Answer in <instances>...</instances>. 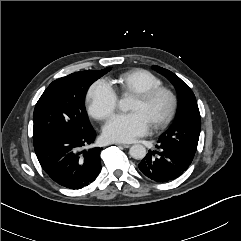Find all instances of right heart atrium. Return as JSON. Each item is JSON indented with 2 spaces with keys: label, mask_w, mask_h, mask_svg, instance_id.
I'll return each instance as SVG.
<instances>
[{
  "label": "right heart atrium",
  "mask_w": 241,
  "mask_h": 241,
  "mask_svg": "<svg viewBox=\"0 0 241 241\" xmlns=\"http://www.w3.org/2000/svg\"><path fill=\"white\" fill-rule=\"evenodd\" d=\"M88 110L97 120L111 116L118 106V94L105 79L95 81L87 92Z\"/></svg>",
  "instance_id": "right-heart-atrium-1"
}]
</instances>
